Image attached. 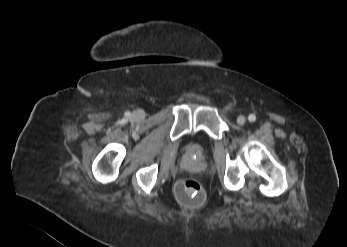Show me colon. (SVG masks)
I'll return each mask as SVG.
<instances>
[{
  "instance_id": "colon-1",
  "label": "colon",
  "mask_w": 347,
  "mask_h": 247,
  "mask_svg": "<svg viewBox=\"0 0 347 247\" xmlns=\"http://www.w3.org/2000/svg\"><path fill=\"white\" fill-rule=\"evenodd\" d=\"M177 193L179 199L188 206L198 207L205 200V190L202 184L193 178L183 179L179 182Z\"/></svg>"
}]
</instances>
